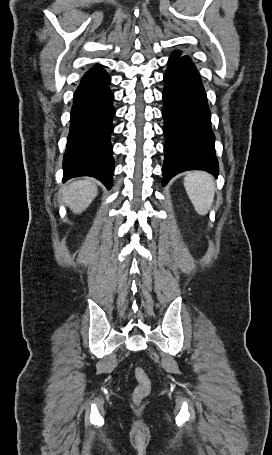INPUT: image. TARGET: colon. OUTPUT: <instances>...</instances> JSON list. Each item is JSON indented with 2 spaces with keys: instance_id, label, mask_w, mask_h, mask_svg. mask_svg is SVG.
<instances>
[{
  "instance_id": "colon-1",
  "label": "colon",
  "mask_w": 272,
  "mask_h": 455,
  "mask_svg": "<svg viewBox=\"0 0 272 455\" xmlns=\"http://www.w3.org/2000/svg\"><path fill=\"white\" fill-rule=\"evenodd\" d=\"M134 376L137 386L134 389L133 398L136 402H139L149 394L151 385L146 372L141 367L135 368Z\"/></svg>"
}]
</instances>
